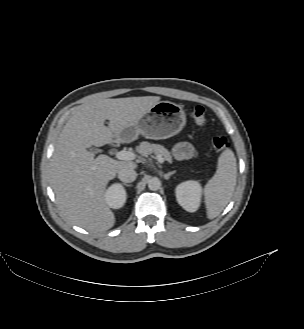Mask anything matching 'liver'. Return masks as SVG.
I'll return each mask as SVG.
<instances>
[{"label":"liver","instance_id":"liver-1","mask_svg":"<svg viewBox=\"0 0 304 329\" xmlns=\"http://www.w3.org/2000/svg\"><path fill=\"white\" fill-rule=\"evenodd\" d=\"M159 100V96L93 100L80 106L67 121L51 159L50 181L69 221L95 233L113 227L115 216L105 201L106 186L118 171L137 165L107 155L94 158L87 148L110 144ZM105 120H109L108 127Z\"/></svg>","mask_w":304,"mask_h":329}]
</instances>
